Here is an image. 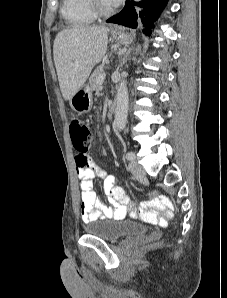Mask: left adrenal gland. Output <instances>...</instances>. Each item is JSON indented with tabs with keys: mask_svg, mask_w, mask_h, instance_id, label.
<instances>
[{
	"mask_svg": "<svg viewBox=\"0 0 227 298\" xmlns=\"http://www.w3.org/2000/svg\"><path fill=\"white\" fill-rule=\"evenodd\" d=\"M134 49V47L130 48L126 53H125V61L127 60V58L130 55V52ZM138 52V49H136V53Z\"/></svg>",
	"mask_w": 227,
	"mask_h": 298,
	"instance_id": "left-adrenal-gland-1",
	"label": "left adrenal gland"
}]
</instances>
